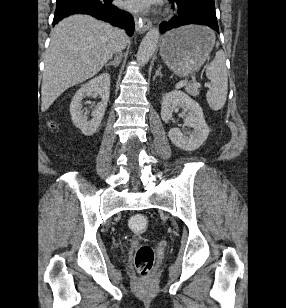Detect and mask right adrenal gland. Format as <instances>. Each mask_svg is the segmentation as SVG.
<instances>
[{"instance_id": "1", "label": "right adrenal gland", "mask_w": 286, "mask_h": 308, "mask_svg": "<svg viewBox=\"0 0 286 308\" xmlns=\"http://www.w3.org/2000/svg\"><path fill=\"white\" fill-rule=\"evenodd\" d=\"M122 60V55H118L117 57H115L114 61H111L110 63L106 64L105 67L108 66H114V67H118L119 64L121 63Z\"/></svg>"}]
</instances>
